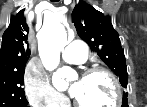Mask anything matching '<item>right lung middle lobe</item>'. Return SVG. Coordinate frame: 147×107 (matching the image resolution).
<instances>
[{"label": "right lung middle lobe", "instance_id": "obj_1", "mask_svg": "<svg viewBox=\"0 0 147 107\" xmlns=\"http://www.w3.org/2000/svg\"><path fill=\"white\" fill-rule=\"evenodd\" d=\"M25 68L0 74V107H26L24 88Z\"/></svg>", "mask_w": 147, "mask_h": 107}]
</instances>
